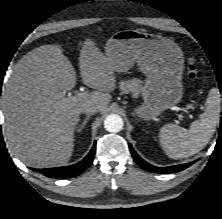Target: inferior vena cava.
<instances>
[{"label":"inferior vena cava","mask_w":222,"mask_h":219,"mask_svg":"<svg viewBox=\"0 0 222 219\" xmlns=\"http://www.w3.org/2000/svg\"><path fill=\"white\" fill-rule=\"evenodd\" d=\"M100 109V106L98 104H89L85 106L82 110L83 113L89 114V113H96Z\"/></svg>","instance_id":"1"}]
</instances>
